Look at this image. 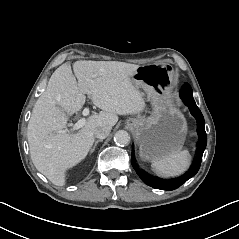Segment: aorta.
<instances>
[{"label": "aorta", "mask_w": 239, "mask_h": 239, "mask_svg": "<svg viewBox=\"0 0 239 239\" xmlns=\"http://www.w3.org/2000/svg\"><path fill=\"white\" fill-rule=\"evenodd\" d=\"M114 141L117 145H128L130 143V135L125 130H119L114 135Z\"/></svg>", "instance_id": "762f6f07"}]
</instances>
